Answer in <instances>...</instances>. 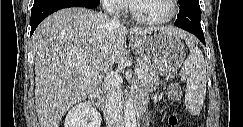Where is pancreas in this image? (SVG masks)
<instances>
[{
  "label": "pancreas",
  "mask_w": 243,
  "mask_h": 127,
  "mask_svg": "<svg viewBox=\"0 0 243 127\" xmlns=\"http://www.w3.org/2000/svg\"><path fill=\"white\" fill-rule=\"evenodd\" d=\"M138 68L143 70V74L141 76L144 80L154 82L156 85H158L159 78L153 71V69L150 67V65H148L143 60H139Z\"/></svg>",
  "instance_id": "1"
}]
</instances>
